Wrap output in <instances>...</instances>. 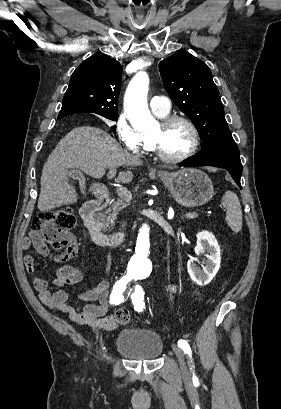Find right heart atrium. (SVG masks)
Returning a JSON list of instances; mask_svg holds the SVG:
<instances>
[{
  "label": "right heart atrium",
  "instance_id": "d8ad5b80",
  "mask_svg": "<svg viewBox=\"0 0 281 409\" xmlns=\"http://www.w3.org/2000/svg\"><path fill=\"white\" fill-rule=\"evenodd\" d=\"M132 122V121H131ZM116 132L120 143L125 149H135L140 140V136L135 132L134 128L129 122L128 115H118L114 122Z\"/></svg>",
  "mask_w": 281,
  "mask_h": 409
}]
</instances>
